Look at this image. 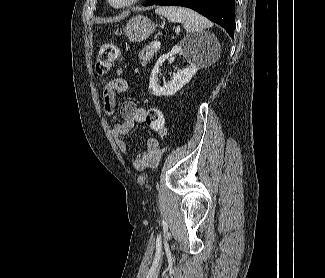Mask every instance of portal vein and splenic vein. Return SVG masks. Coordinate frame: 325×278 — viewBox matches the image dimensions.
Returning <instances> with one entry per match:
<instances>
[{
    "label": "portal vein and splenic vein",
    "mask_w": 325,
    "mask_h": 278,
    "mask_svg": "<svg viewBox=\"0 0 325 278\" xmlns=\"http://www.w3.org/2000/svg\"><path fill=\"white\" fill-rule=\"evenodd\" d=\"M160 45H161V42L158 41V40H156L154 43H152V46H153L154 48L159 47Z\"/></svg>",
    "instance_id": "1"
}]
</instances>
